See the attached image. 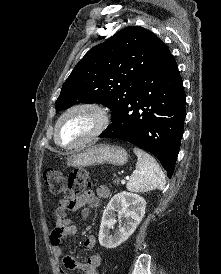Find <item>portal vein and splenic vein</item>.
Listing matches in <instances>:
<instances>
[{
    "mask_svg": "<svg viewBox=\"0 0 221 274\" xmlns=\"http://www.w3.org/2000/svg\"><path fill=\"white\" fill-rule=\"evenodd\" d=\"M127 178H128V177H127ZM127 178H126V179H127ZM121 183H122V184H125V183H126L125 179H122V180H121Z\"/></svg>",
    "mask_w": 221,
    "mask_h": 274,
    "instance_id": "portal-vein-and-splenic-vein-1",
    "label": "portal vein and splenic vein"
}]
</instances>
